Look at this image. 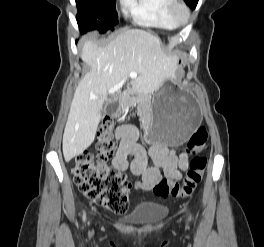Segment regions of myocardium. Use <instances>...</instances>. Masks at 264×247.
I'll return each mask as SVG.
<instances>
[{
    "mask_svg": "<svg viewBox=\"0 0 264 247\" xmlns=\"http://www.w3.org/2000/svg\"><path fill=\"white\" fill-rule=\"evenodd\" d=\"M170 14L177 27H185L191 21V11L189 6L180 0H174L171 5Z\"/></svg>",
    "mask_w": 264,
    "mask_h": 247,
    "instance_id": "1",
    "label": "myocardium"
}]
</instances>
